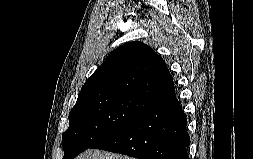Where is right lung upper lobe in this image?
I'll return each mask as SVG.
<instances>
[{
	"label": "right lung upper lobe",
	"instance_id": "right-lung-upper-lobe-1",
	"mask_svg": "<svg viewBox=\"0 0 253 159\" xmlns=\"http://www.w3.org/2000/svg\"><path fill=\"white\" fill-rule=\"evenodd\" d=\"M130 95L155 105L175 95L164 60L142 42H130L112 51L86 81L77 100Z\"/></svg>",
	"mask_w": 253,
	"mask_h": 159
}]
</instances>
